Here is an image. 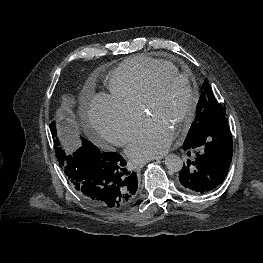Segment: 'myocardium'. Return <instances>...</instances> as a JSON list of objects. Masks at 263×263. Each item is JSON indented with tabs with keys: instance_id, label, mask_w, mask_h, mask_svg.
Wrapping results in <instances>:
<instances>
[{
	"instance_id": "f54148a6",
	"label": "myocardium",
	"mask_w": 263,
	"mask_h": 263,
	"mask_svg": "<svg viewBox=\"0 0 263 263\" xmlns=\"http://www.w3.org/2000/svg\"><path fill=\"white\" fill-rule=\"evenodd\" d=\"M177 78L182 80L189 91V104L185 111V113L180 117V119L177 122L175 132H180L182 129H184L192 120L194 117V114L197 109L198 101H199V95L197 89L194 87L191 79L179 72L178 70H163V69H157L152 74L144 92L140 100V109L143 113H145L146 107L149 104V102L154 97L159 82L164 78Z\"/></svg>"
}]
</instances>
